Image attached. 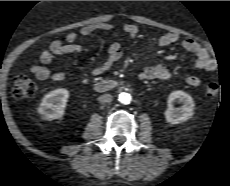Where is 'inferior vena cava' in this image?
I'll use <instances>...</instances> for the list:
<instances>
[{
  "label": "inferior vena cava",
  "instance_id": "602c4592",
  "mask_svg": "<svg viewBox=\"0 0 230 186\" xmlns=\"http://www.w3.org/2000/svg\"><path fill=\"white\" fill-rule=\"evenodd\" d=\"M112 98L113 97L110 94H103V95H101V96L98 97V101L100 103H109V102L112 101Z\"/></svg>",
  "mask_w": 230,
  "mask_h": 186
}]
</instances>
